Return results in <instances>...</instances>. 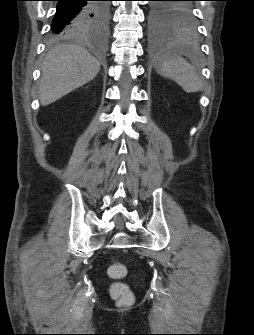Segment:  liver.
I'll return each mask as SVG.
<instances>
[{
    "instance_id": "1",
    "label": "liver",
    "mask_w": 254,
    "mask_h": 335,
    "mask_svg": "<svg viewBox=\"0 0 254 335\" xmlns=\"http://www.w3.org/2000/svg\"><path fill=\"white\" fill-rule=\"evenodd\" d=\"M41 70L39 100L47 106L93 80L100 62L84 47L58 45L47 54Z\"/></svg>"
}]
</instances>
